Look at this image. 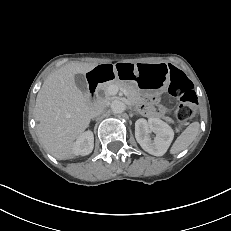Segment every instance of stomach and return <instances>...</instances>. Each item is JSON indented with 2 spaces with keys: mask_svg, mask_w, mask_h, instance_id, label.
I'll use <instances>...</instances> for the list:
<instances>
[{
  "mask_svg": "<svg viewBox=\"0 0 231 231\" xmlns=\"http://www.w3.org/2000/svg\"><path fill=\"white\" fill-rule=\"evenodd\" d=\"M119 63L115 69L124 67ZM130 72L129 79L133 80L140 92L147 95H156L165 92L170 84V68L165 63H135L127 64Z\"/></svg>",
  "mask_w": 231,
  "mask_h": 231,
  "instance_id": "stomach-1",
  "label": "stomach"
}]
</instances>
